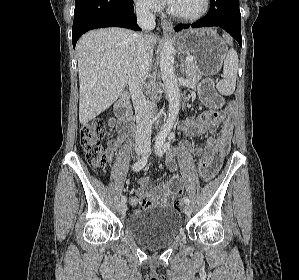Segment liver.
<instances>
[{
    "label": "liver",
    "mask_w": 299,
    "mask_h": 280,
    "mask_svg": "<svg viewBox=\"0 0 299 280\" xmlns=\"http://www.w3.org/2000/svg\"><path fill=\"white\" fill-rule=\"evenodd\" d=\"M138 33L121 28L92 30L76 46L80 82L79 121L87 124L110 107L128 83ZM157 38L151 36L152 48Z\"/></svg>",
    "instance_id": "obj_1"
}]
</instances>
